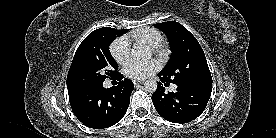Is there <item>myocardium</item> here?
Segmentation results:
<instances>
[{
	"label": "myocardium",
	"instance_id": "1",
	"mask_svg": "<svg viewBox=\"0 0 276 138\" xmlns=\"http://www.w3.org/2000/svg\"><path fill=\"white\" fill-rule=\"evenodd\" d=\"M156 51L158 52H162L163 51V47L162 46H156V47H153Z\"/></svg>",
	"mask_w": 276,
	"mask_h": 138
}]
</instances>
